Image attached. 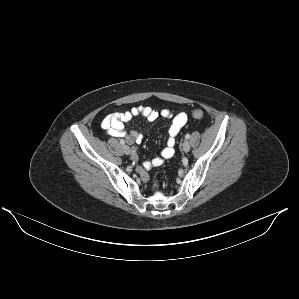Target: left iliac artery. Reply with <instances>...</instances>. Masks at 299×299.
Returning a JSON list of instances; mask_svg holds the SVG:
<instances>
[{
    "label": "left iliac artery",
    "instance_id": "obj_1",
    "mask_svg": "<svg viewBox=\"0 0 299 299\" xmlns=\"http://www.w3.org/2000/svg\"><path fill=\"white\" fill-rule=\"evenodd\" d=\"M185 138H186V139H189V138H190V134H186V135H185Z\"/></svg>",
    "mask_w": 299,
    "mask_h": 299
}]
</instances>
